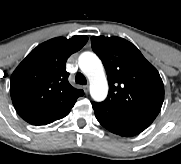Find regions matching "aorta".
I'll return each instance as SVG.
<instances>
[{"label":"aorta","mask_w":181,"mask_h":164,"mask_svg":"<svg viewBox=\"0 0 181 164\" xmlns=\"http://www.w3.org/2000/svg\"><path fill=\"white\" fill-rule=\"evenodd\" d=\"M79 67L90 81V95L95 101H103L108 93V82L101 60L92 52L79 57Z\"/></svg>","instance_id":"1"}]
</instances>
